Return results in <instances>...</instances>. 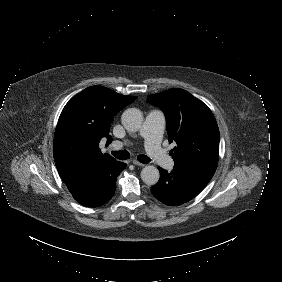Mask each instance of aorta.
Masks as SVG:
<instances>
[{"label":"aorta","instance_id":"1","mask_svg":"<svg viewBox=\"0 0 282 282\" xmlns=\"http://www.w3.org/2000/svg\"><path fill=\"white\" fill-rule=\"evenodd\" d=\"M121 120L126 130L136 132L142 125L143 114L137 108H128L123 112ZM159 178L160 173L155 166H145L141 171V179L147 185H155Z\"/></svg>","mask_w":282,"mask_h":282}]
</instances>
